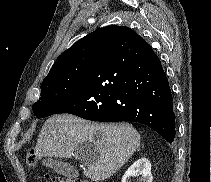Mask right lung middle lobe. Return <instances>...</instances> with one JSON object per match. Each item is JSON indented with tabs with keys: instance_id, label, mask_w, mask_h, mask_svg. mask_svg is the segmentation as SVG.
<instances>
[{
	"instance_id": "1",
	"label": "right lung middle lobe",
	"mask_w": 211,
	"mask_h": 182,
	"mask_svg": "<svg viewBox=\"0 0 211 182\" xmlns=\"http://www.w3.org/2000/svg\"><path fill=\"white\" fill-rule=\"evenodd\" d=\"M90 63L61 69L54 75L45 77L41 85V97L32 106L34 115L44 118L55 114L81 88Z\"/></svg>"
}]
</instances>
